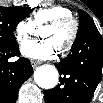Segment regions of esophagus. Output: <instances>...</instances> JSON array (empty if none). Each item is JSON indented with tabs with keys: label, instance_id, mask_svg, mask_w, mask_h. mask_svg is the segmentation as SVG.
Wrapping results in <instances>:
<instances>
[{
	"label": "esophagus",
	"instance_id": "1",
	"mask_svg": "<svg viewBox=\"0 0 103 103\" xmlns=\"http://www.w3.org/2000/svg\"><path fill=\"white\" fill-rule=\"evenodd\" d=\"M41 62L40 61H37V60H31V64L32 66L35 68L37 67Z\"/></svg>",
	"mask_w": 103,
	"mask_h": 103
}]
</instances>
